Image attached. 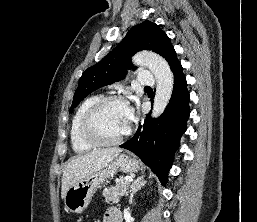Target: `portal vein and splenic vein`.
Segmentation results:
<instances>
[{
  "label": "portal vein and splenic vein",
  "instance_id": "18ae733b",
  "mask_svg": "<svg viewBox=\"0 0 257 222\" xmlns=\"http://www.w3.org/2000/svg\"><path fill=\"white\" fill-rule=\"evenodd\" d=\"M133 179L131 177H125V181L131 182Z\"/></svg>",
  "mask_w": 257,
  "mask_h": 222
}]
</instances>
